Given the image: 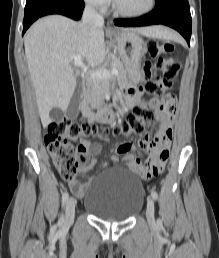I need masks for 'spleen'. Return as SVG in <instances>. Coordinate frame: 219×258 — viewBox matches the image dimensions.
<instances>
[{
    "label": "spleen",
    "instance_id": "3e777b00",
    "mask_svg": "<svg viewBox=\"0 0 219 258\" xmlns=\"http://www.w3.org/2000/svg\"><path fill=\"white\" fill-rule=\"evenodd\" d=\"M173 36L174 34L165 28H163L159 33V37H162V38H174Z\"/></svg>",
    "mask_w": 219,
    "mask_h": 258
}]
</instances>
